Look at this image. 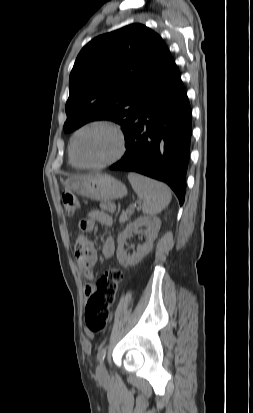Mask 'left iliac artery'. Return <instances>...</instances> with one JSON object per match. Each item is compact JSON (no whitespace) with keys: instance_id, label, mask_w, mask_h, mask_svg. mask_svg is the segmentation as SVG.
<instances>
[{"instance_id":"44dca946","label":"left iliac artery","mask_w":253,"mask_h":413,"mask_svg":"<svg viewBox=\"0 0 253 413\" xmlns=\"http://www.w3.org/2000/svg\"><path fill=\"white\" fill-rule=\"evenodd\" d=\"M105 355H106V348L103 347V348H101V349L99 350V352H98V354H97V359H98L99 361H102V360H104Z\"/></svg>"}]
</instances>
